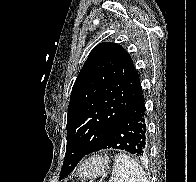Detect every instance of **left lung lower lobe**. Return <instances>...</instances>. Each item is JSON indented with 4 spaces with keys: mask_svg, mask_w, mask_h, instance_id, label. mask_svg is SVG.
I'll return each mask as SVG.
<instances>
[{
    "mask_svg": "<svg viewBox=\"0 0 196 182\" xmlns=\"http://www.w3.org/2000/svg\"><path fill=\"white\" fill-rule=\"evenodd\" d=\"M119 149L129 152L137 157L147 154V118L143 92L121 114L112 126L109 133L93 151L103 149ZM77 146L71 148L64 161L71 160L78 163L87 152L81 151Z\"/></svg>",
    "mask_w": 196,
    "mask_h": 182,
    "instance_id": "1",
    "label": "left lung lower lobe"
}]
</instances>
